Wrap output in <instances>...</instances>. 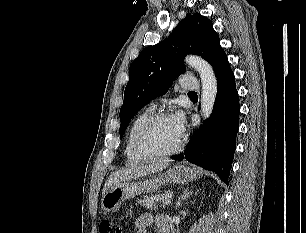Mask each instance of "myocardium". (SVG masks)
Wrapping results in <instances>:
<instances>
[{"label":"myocardium","mask_w":306,"mask_h":233,"mask_svg":"<svg viewBox=\"0 0 306 233\" xmlns=\"http://www.w3.org/2000/svg\"><path fill=\"white\" fill-rule=\"evenodd\" d=\"M170 118L168 113L159 112L150 115L137 129L133 138V148L135 153L144 159L164 158L177 154L183 146V139L180 138L174 148L168 151H157L150 149L145 144V138L149 130L159 121Z\"/></svg>","instance_id":"1"}]
</instances>
